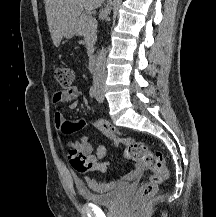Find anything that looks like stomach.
I'll return each instance as SVG.
<instances>
[{"label":"stomach","mask_w":216,"mask_h":217,"mask_svg":"<svg viewBox=\"0 0 216 217\" xmlns=\"http://www.w3.org/2000/svg\"><path fill=\"white\" fill-rule=\"evenodd\" d=\"M74 34H75V24H74L73 26H71V27L66 31L65 36H66L67 38H71V37L74 36Z\"/></svg>","instance_id":"obj_1"}]
</instances>
